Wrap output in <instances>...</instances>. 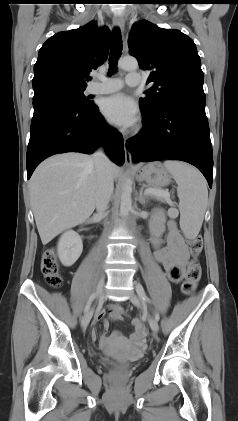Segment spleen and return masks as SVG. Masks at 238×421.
<instances>
[{
    "label": "spleen",
    "mask_w": 238,
    "mask_h": 421,
    "mask_svg": "<svg viewBox=\"0 0 238 421\" xmlns=\"http://www.w3.org/2000/svg\"><path fill=\"white\" fill-rule=\"evenodd\" d=\"M164 166L178 185L180 227L185 237L195 238L201 229L207 208L206 180L195 167L185 162L166 160Z\"/></svg>",
    "instance_id": "1"
}]
</instances>
